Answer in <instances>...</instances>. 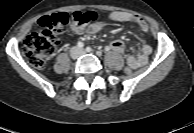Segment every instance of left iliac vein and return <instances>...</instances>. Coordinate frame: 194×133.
Wrapping results in <instances>:
<instances>
[{
  "mask_svg": "<svg viewBox=\"0 0 194 133\" xmlns=\"http://www.w3.org/2000/svg\"><path fill=\"white\" fill-rule=\"evenodd\" d=\"M86 52H87V51L84 50V49H81V50H80V53H81V54H85Z\"/></svg>",
  "mask_w": 194,
  "mask_h": 133,
  "instance_id": "obj_1",
  "label": "left iliac vein"
}]
</instances>
